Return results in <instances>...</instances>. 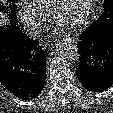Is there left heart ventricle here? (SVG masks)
Listing matches in <instances>:
<instances>
[{
  "label": "left heart ventricle",
  "instance_id": "left-heart-ventricle-1",
  "mask_svg": "<svg viewBox=\"0 0 113 113\" xmlns=\"http://www.w3.org/2000/svg\"><path fill=\"white\" fill-rule=\"evenodd\" d=\"M87 0H66L60 10V25L64 26L80 18Z\"/></svg>",
  "mask_w": 113,
  "mask_h": 113
}]
</instances>
